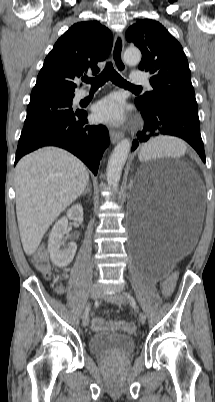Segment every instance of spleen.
<instances>
[{
	"label": "spleen",
	"instance_id": "spleen-1",
	"mask_svg": "<svg viewBox=\"0 0 215 402\" xmlns=\"http://www.w3.org/2000/svg\"><path fill=\"white\" fill-rule=\"evenodd\" d=\"M185 150L184 144L171 137H159L144 145L140 157L151 158L160 155H177Z\"/></svg>",
	"mask_w": 215,
	"mask_h": 402
}]
</instances>
